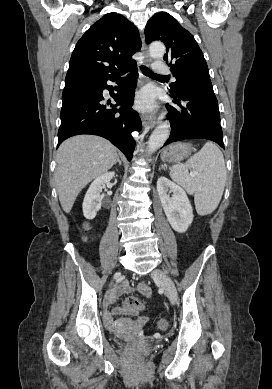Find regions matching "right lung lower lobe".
<instances>
[{
  "instance_id": "right-lung-lower-lobe-1",
  "label": "right lung lower lobe",
  "mask_w": 272,
  "mask_h": 389,
  "mask_svg": "<svg viewBox=\"0 0 272 389\" xmlns=\"http://www.w3.org/2000/svg\"><path fill=\"white\" fill-rule=\"evenodd\" d=\"M131 71L116 89L117 94L106 84L108 80L120 81V76ZM137 80L135 64L120 73L105 79L65 85L62 94L61 125L58 131V146L67 138L78 134H94L108 139L118 147L130 161L135 141L134 130H141L138 113L132 109ZM110 91L116 105L105 101L103 90ZM117 105H122L119 109Z\"/></svg>"
}]
</instances>
